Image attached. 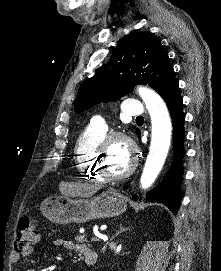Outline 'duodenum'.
Returning <instances> with one entry per match:
<instances>
[{"label": "duodenum", "mask_w": 221, "mask_h": 271, "mask_svg": "<svg viewBox=\"0 0 221 271\" xmlns=\"http://www.w3.org/2000/svg\"><path fill=\"white\" fill-rule=\"evenodd\" d=\"M97 259H98L97 254L93 253V254L89 255L88 257H86L85 261L87 264L93 265L97 262Z\"/></svg>", "instance_id": "duodenum-1"}]
</instances>
